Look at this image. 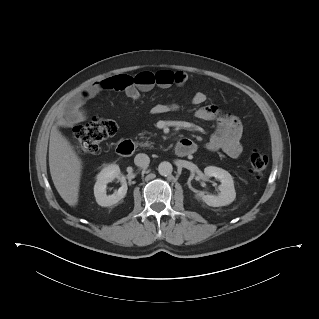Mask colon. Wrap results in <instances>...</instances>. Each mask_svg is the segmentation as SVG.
Returning a JSON list of instances; mask_svg holds the SVG:
<instances>
[{"label": "colon", "instance_id": "obj_1", "mask_svg": "<svg viewBox=\"0 0 319 319\" xmlns=\"http://www.w3.org/2000/svg\"><path fill=\"white\" fill-rule=\"evenodd\" d=\"M138 84L152 83L150 74L140 73L134 78ZM117 124L113 120L94 118L90 122L79 125L74 131V146L79 153H95L103 141L114 136ZM250 169L254 176L261 177L267 168L268 158L261 152H253L249 158Z\"/></svg>", "mask_w": 319, "mask_h": 319}]
</instances>
